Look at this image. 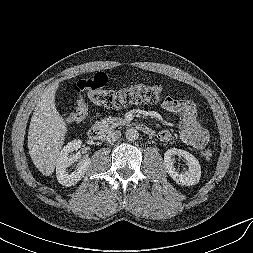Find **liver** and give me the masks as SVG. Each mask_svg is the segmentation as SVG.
<instances>
[{
  "instance_id": "1",
  "label": "liver",
  "mask_w": 253,
  "mask_h": 253,
  "mask_svg": "<svg viewBox=\"0 0 253 253\" xmlns=\"http://www.w3.org/2000/svg\"><path fill=\"white\" fill-rule=\"evenodd\" d=\"M58 87L59 84L54 83L40 95L28 131L30 157L46 176L54 172L67 133V125L55 106Z\"/></svg>"
}]
</instances>
